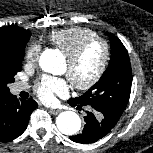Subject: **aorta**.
<instances>
[{
  "label": "aorta",
  "mask_w": 153,
  "mask_h": 153,
  "mask_svg": "<svg viewBox=\"0 0 153 153\" xmlns=\"http://www.w3.org/2000/svg\"><path fill=\"white\" fill-rule=\"evenodd\" d=\"M39 64L43 71L51 74H59L61 59L54 50L48 49L41 54ZM56 125L61 133L74 135L81 128V119L75 112L64 111L57 116Z\"/></svg>",
  "instance_id": "obj_1"
}]
</instances>
